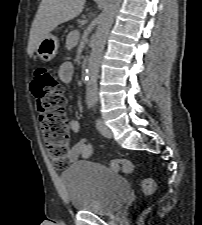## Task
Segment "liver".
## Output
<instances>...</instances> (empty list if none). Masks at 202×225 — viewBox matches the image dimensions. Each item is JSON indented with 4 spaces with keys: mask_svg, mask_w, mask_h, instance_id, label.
<instances>
[{
    "mask_svg": "<svg viewBox=\"0 0 202 225\" xmlns=\"http://www.w3.org/2000/svg\"><path fill=\"white\" fill-rule=\"evenodd\" d=\"M85 0H42L30 30L27 52L31 57L40 41L58 25L77 17Z\"/></svg>",
    "mask_w": 202,
    "mask_h": 225,
    "instance_id": "obj_1",
    "label": "liver"
}]
</instances>
